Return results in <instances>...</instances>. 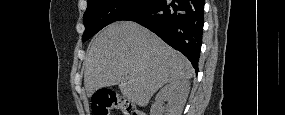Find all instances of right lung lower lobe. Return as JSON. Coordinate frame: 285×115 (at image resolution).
<instances>
[{"label": "right lung lower lobe", "instance_id": "right-lung-lower-lobe-1", "mask_svg": "<svg viewBox=\"0 0 285 115\" xmlns=\"http://www.w3.org/2000/svg\"><path fill=\"white\" fill-rule=\"evenodd\" d=\"M203 0H154L122 20L135 21L184 54L198 72L204 24Z\"/></svg>", "mask_w": 285, "mask_h": 115}]
</instances>
